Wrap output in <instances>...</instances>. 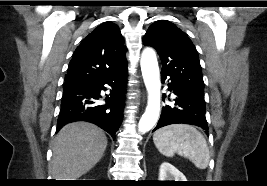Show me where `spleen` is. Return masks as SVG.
Returning a JSON list of instances; mask_svg holds the SVG:
<instances>
[{"label": "spleen", "mask_w": 267, "mask_h": 186, "mask_svg": "<svg viewBox=\"0 0 267 186\" xmlns=\"http://www.w3.org/2000/svg\"><path fill=\"white\" fill-rule=\"evenodd\" d=\"M153 142L159 152L167 157L178 153L199 169L208 166L210 153L206 139L193 126L173 124L163 127L154 133Z\"/></svg>", "instance_id": "obj_1"}]
</instances>
